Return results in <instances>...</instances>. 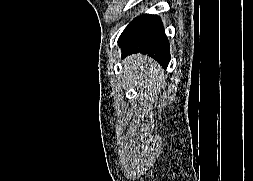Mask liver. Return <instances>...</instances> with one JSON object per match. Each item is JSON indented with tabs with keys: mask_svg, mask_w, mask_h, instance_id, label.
<instances>
[{
	"mask_svg": "<svg viewBox=\"0 0 253 181\" xmlns=\"http://www.w3.org/2000/svg\"><path fill=\"white\" fill-rule=\"evenodd\" d=\"M161 67L148 56L132 55L123 62V74L130 87L137 86L141 92L150 91L164 80Z\"/></svg>",
	"mask_w": 253,
	"mask_h": 181,
	"instance_id": "1",
	"label": "liver"
}]
</instances>
